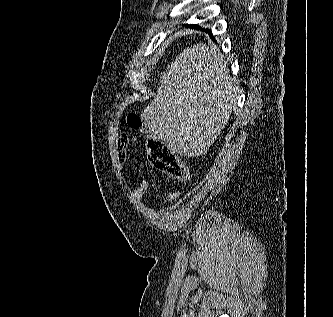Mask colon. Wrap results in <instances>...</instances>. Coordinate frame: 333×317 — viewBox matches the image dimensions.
I'll list each match as a JSON object with an SVG mask.
<instances>
[{
    "instance_id": "5ec220e1",
    "label": "colon",
    "mask_w": 333,
    "mask_h": 317,
    "mask_svg": "<svg viewBox=\"0 0 333 317\" xmlns=\"http://www.w3.org/2000/svg\"><path fill=\"white\" fill-rule=\"evenodd\" d=\"M126 122L132 129L141 130L143 128L142 120L136 114H129ZM145 147L148 159L155 168L180 182L190 179L188 166L154 133L146 132Z\"/></svg>"
}]
</instances>
